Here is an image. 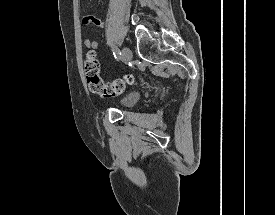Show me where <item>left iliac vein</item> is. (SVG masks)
I'll use <instances>...</instances> for the list:
<instances>
[{"instance_id":"obj_1","label":"left iliac vein","mask_w":275,"mask_h":215,"mask_svg":"<svg viewBox=\"0 0 275 215\" xmlns=\"http://www.w3.org/2000/svg\"><path fill=\"white\" fill-rule=\"evenodd\" d=\"M122 58L124 62H128L132 58V51L128 47H124L122 50Z\"/></svg>"}]
</instances>
